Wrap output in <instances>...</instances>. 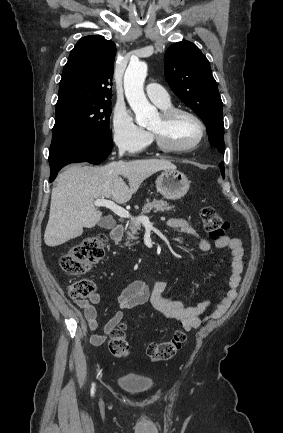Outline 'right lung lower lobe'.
Here are the masks:
<instances>
[{
    "instance_id": "1",
    "label": "right lung lower lobe",
    "mask_w": 283,
    "mask_h": 433,
    "mask_svg": "<svg viewBox=\"0 0 283 433\" xmlns=\"http://www.w3.org/2000/svg\"><path fill=\"white\" fill-rule=\"evenodd\" d=\"M112 147V141H101L87 135H54L49 150L50 182L67 164L79 162L100 164L110 154Z\"/></svg>"
}]
</instances>
